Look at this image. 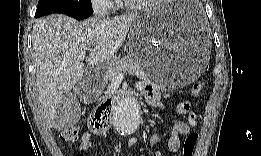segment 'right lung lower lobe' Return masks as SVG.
<instances>
[{
    "label": "right lung lower lobe",
    "mask_w": 261,
    "mask_h": 156,
    "mask_svg": "<svg viewBox=\"0 0 261 156\" xmlns=\"http://www.w3.org/2000/svg\"><path fill=\"white\" fill-rule=\"evenodd\" d=\"M92 14V11H84V10H78L74 11L70 14V16H73L77 19H86Z\"/></svg>",
    "instance_id": "right-lung-lower-lobe-1"
}]
</instances>
